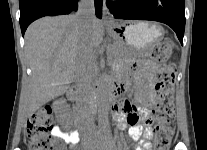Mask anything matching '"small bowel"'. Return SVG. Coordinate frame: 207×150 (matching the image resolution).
<instances>
[{"instance_id": "c3829d8e", "label": "small bowel", "mask_w": 207, "mask_h": 150, "mask_svg": "<svg viewBox=\"0 0 207 150\" xmlns=\"http://www.w3.org/2000/svg\"><path fill=\"white\" fill-rule=\"evenodd\" d=\"M155 69V65L147 60L138 63L123 62L119 65V71L122 73L133 70V78L138 87L136 97L142 106H135L127 100L117 99L112 105L113 118L121 129L128 127V134L134 141L140 140L143 135L146 138L151 137V130L149 128L144 129L142 123L149 121V109L157 101L153 90ZM115 88V95L120 96L125 89V83H116ZM52 134L71 147H74L80 140L77 131H64L58 126L52 130ZM151 149L152 143L148 140H141L140 145L136 148V150Z\"/></svg>"}]
</instances>
